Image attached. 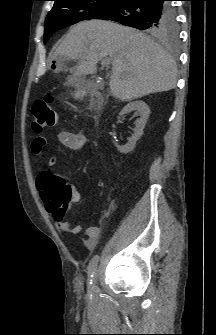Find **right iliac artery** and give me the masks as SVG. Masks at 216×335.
I'll use <instances>...</instances> for the list:
<instances>
[{
  "label": "right iliac artery",
  "mask_w": 216,
  "mask_h": 335,
  "mask_svg": "<svg viewBox=\"0 0 216 335\" xmlns=\"http://www.w3.org/2000/svg\"><path fill=\"white\" fill-rule=\"evenodd\" d=\"M99 261V256L95 255L93 256V258L91 259L89 265H88V289H89V297H92V291L94 289L93 286V276H94V270L97 266V263Z\"/></svg>",
  "instance_id": "right-iliac-artery-1"
}]
</instances>
